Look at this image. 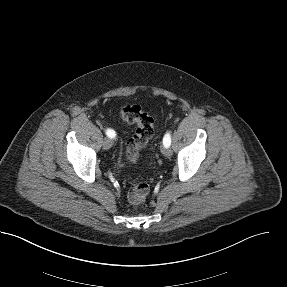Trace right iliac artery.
<instances>
[{"label": "right iliac artery", "instance_id": "82829eb1", "mask_svg": "<svg viewBox=\"0 0 287 287\" xmlns=\"http://www.w3.org/2000/svg\"><path fill=\"white\" fill-rule=\"evenodd\" d=\"M106 135L109 137V138H114L116 136L115 132L112 130V129H107L106 130Z\"/></svg>", "mask_w": 287, "mask_h": 287}]
</instances>
